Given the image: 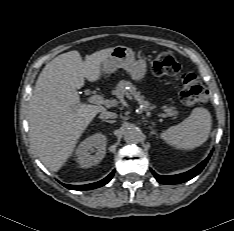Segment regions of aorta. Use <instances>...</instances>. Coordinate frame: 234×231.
<instances>
[{
	"instance_id": "aorta-1",
	"label": "aorta",
	"mask_w": 234,
	"mask_h": 231,
	"mask_svg": "<svg viewBox=\"0 0 234 231\" xmlns=\"http://www.w3.org/2000/svg\"><path fill=\"white\" fill-rule=\"evenodd\" d=\"M141 131L136 127H129L124 132V141L128 144H137L141 139Z\"/></svg>"
}]
</instances>
